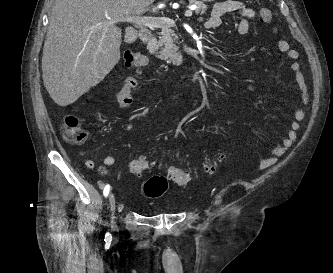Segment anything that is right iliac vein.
Returning a JSON list of instances; mask_svg holds the SVG:
<instances>
[{"instance_id":"obj_1","label":"right iliac vein","mask_w":333,"mask_h":273,"mask_svg":"<svg viewBox=\"0 0 333 273\" xmlns=\"http://www.w3.org/2000/svg\"><path fill=\"white\" fill-rule=\"evenodd\" d=\"M109 205H110V210H111V221H110L111 230L116 231L117 225L114 220L115 195L112 192L109 195Z\"/></svg>"}]
</instances>
